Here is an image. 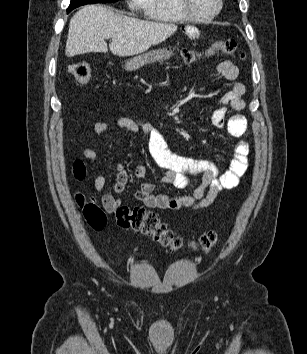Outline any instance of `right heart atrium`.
Here are the masks:
<instances>
[{"mask_svg":"<svg viewBox=\"0 0 307 354\" xmlns=\"http://www.w3.org/2000/svg\"><path fill=\"white\" fill-rule=\"evenodd\" d=\"M127 2L131 8L137 9L143 7L145 0H127Z\"/></svg>","mask_w":307,"mask_h":354,"instance_id":"obj_1","label":"right heart atrium"}]
</instances>
